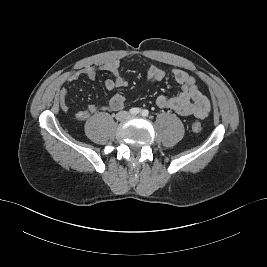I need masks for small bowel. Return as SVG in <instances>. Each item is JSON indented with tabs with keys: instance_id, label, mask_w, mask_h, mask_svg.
<instances>
[{
	"instance_id": "1",
	"label": "small bowel",
	"mask_w": 267,
	"mask_h": 267,
	"mask_svg": "<svg viewBox=\"0 0 267 267\" xmlns=\"http://www.w3.org/2000/svg\"><path fill=\"white\" fill-rule=\"evenodd\" d=\"M98 70H105L112 74L113 78L105 81L104 85L108 91L117 88H125L128 86V80L121 72V65L118 60H111L101 64L99 67H84L81 70L72 73L66 77L67 82H73L80 76H86L90 80H94ZM165 70L157 65L150 64L147 69V79L153 82H160L165 78ZM171 75L175 82L180 86L181 92L175 97L159 96L156 99V105L162 109H170L180 116H194L199 119L206 118L210 113V101L201 92L196 80L187 72L181 69H172ZM59 107L63 112L69 109L67 100V90L61 88L57 95ZM124 97L116 93L107 104L96 105L90 104L86 109H82L76 113L79 121H86L90 115L97 114L104 110H120L124 106Z\"/></svg>"
}]
</instances>
